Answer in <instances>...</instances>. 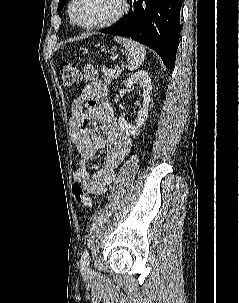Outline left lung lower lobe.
<instances>
[{
  "label": "left lung lower lobe",
  "instance_id": "1",
  "mask_svg": "<svg viewBox=\"0 0 239 303\" xmlns=\"http://www.w3.org/2000/svg\"><path fill=\"white\" fill-rule=\"evenodd\" d=\"M181 1L130 0L128 15L101 32L129 37L152 48L165 66L173 69L179 45Z\"/></svg>",
  "mask_w": 239,
  "mask_h": 303
}]
</instances>
